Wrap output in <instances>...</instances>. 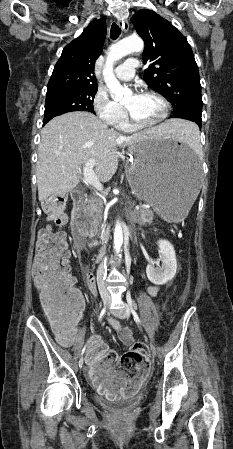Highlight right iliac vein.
Returning <instances> with one entry per match:
<instances>
[{
  "label": "right iliac vein",
  "mask_w": 233,
  "mask_h": 449,
  "mask_svg": "<svg viewBox=\"0 0 233 449\" xmlns=\"http://www.w3.org/2000/svg\"><path fill=\"white\" fill-rule=\"evenodd\" d=\"M102 300H103V305L105 306V305L107 304V302H108L107 297H103ZM78 365H79L80 368L83 366V358H81V359L79 360Z\"/></svg>",
  "instance_id": "obj_1"
}]
</instances>
